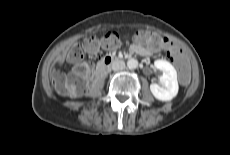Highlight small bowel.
<instances>
[{
    "mask_svg": "<svg viewBox=\"0 0 230 155\" xmlns=\"http://www.w3.org/2000/svg\"><path fill=\"white\" fill-rule=\"evenodd\" d=\"M160 49L161 47L142 46L139 43H133L131 46V50L139 55H151Z\"/></svg>",
    "mask_w": 230,
    "mask_h": 155,
    "instance_id": "c3829d8e",
    "label": "small bowel"
}]
</instances>
